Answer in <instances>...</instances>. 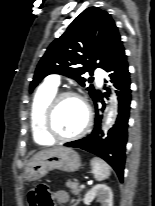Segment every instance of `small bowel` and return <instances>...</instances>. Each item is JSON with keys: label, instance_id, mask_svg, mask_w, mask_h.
<instances>
[{"label": "small bowel", "instance_id": "obj_1", "mask_svg": "<svg viewBox=\"0 0 155 206\" xmlns=\"http://www.w3.org/2000/svg\"><path fill=\"white\" fill-rule=\"evenodd\" d=\"M50 198L52 201L64 205L67 203L69 196L65 191H54V192H49ZM49 206H53V204H50Z\"/></svg>", "mask_w": 155, "mask_h": 206}]
</instances>
